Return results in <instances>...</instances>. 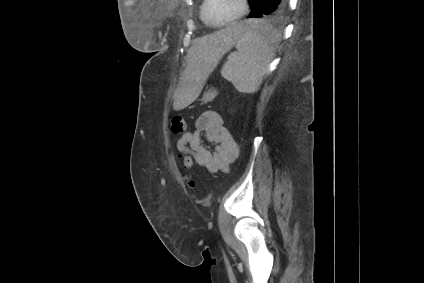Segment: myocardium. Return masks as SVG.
<instances>
[{
  "label": "myocardium",
  "mask_w": 424,
  "mask_h": 283,
  "mask_svg": "<svg viewBox=\"0 0 424 283\" xmlns=\"http://www.w3.org/2000/svg\"><path fill=\"white\" fill-rule=\"evenodd\" d=\"M211 0H204V6H203V20L205 21V23L211 27H221L230 23H233L239 19H241L242 17H244L246 15V13L248 12L249 9V0H240V4H241V8L240 11L237 15H235L234 17H231L227 20L218 22V23H211L208 20V6Z\"/></svg>",
  "instance_id": "obj_1"
}]
</instances>
